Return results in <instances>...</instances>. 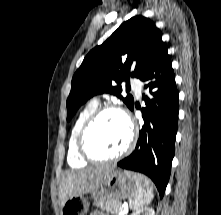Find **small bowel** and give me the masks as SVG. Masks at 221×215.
Returning a JSON list of instances; mask_svg holds the SVG:
<instances>
[{"label": "small bowel", "instance_id": "c3829d8e", "mask_svg": "<svg viewBox=\"0 0 221 215\" xmlns=\"http://www.w3.org/2000/svg\"><path fill=\"white\" fill-rule=\"evenodd\" d=\"M90 215H105V214L100 213V212H93V213H92V214H90Z\"/></svg>", "mask_w": 221, "mask_h": 215}]
</instances>
